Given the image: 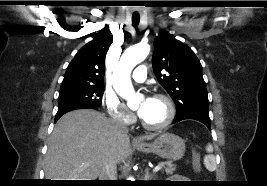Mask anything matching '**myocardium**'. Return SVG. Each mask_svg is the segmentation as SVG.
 <instances>
[{"instance_id":"1","label":"myocardium","mask_w":267,"mask_h":186,"mask_svg":"<svg viewBox=\"0 0 267 186\" xmlns=\"http://www.w3.org/2000/svg\"><path fill=\"white\" fill-rule=\"evenodd\" d=\"M153 99L160 100L166 105L167 115L165 119L157 125L148 124L145 121H143V119H141V125L144 129L149 130V131H160L168 127L174 120L175 113H176L175 106H174L173 101L165 94H161V93L155 94L153 96Z\"/></svg>"}]
</instances>
